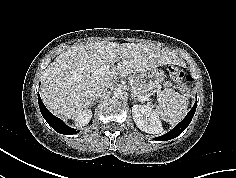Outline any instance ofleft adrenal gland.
Returning a JSON list of instances; mask_svg holds the SVG:
<instances>
[{
  "instance_id": "1",
  "label": "left adrenal gland",
  "mask_w": 236,
  "mask_h": 178,
  "mask_svg": "<svg viewBox=\"0 0 236 178\" xmlns=\"http://www.w3.org/2000/svg\"><path fill=\"white\" fill-rule=\"evenodd\" d=\"M131 99L136 102V101H140L133 93H131ZM142 102V101H140Z\"/></svg>"
}]
</instances>
